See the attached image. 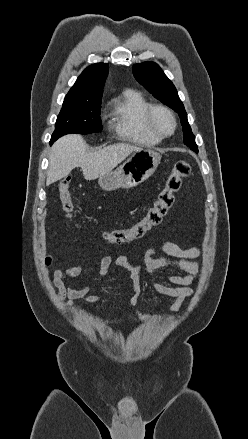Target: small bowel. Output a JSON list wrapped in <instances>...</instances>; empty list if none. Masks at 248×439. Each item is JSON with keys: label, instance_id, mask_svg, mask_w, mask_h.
Here are the masks:
<instances>
[{"label": "small bowel", "instance_id": "small-bowel-1", "mask_svg": "<svg viewBox=\"0 0 248 439\" xmlns=\"http://www.w3.org/2000/svg\"><path fill=\"white\" fill-rule=\"evenodd\" d=\"M158 252H163L165 255L157 256ZM200 255L201 250L198 247L181 248L172 241H163L146 250L143 258L144 270H142L139 265L131 263L126 257H118L115 261L116 265L126 270L130 275L131 298L129 305L134 307L138 303L142 295L143 278H146L156 293L174 298V302L169 310L171 312L178 311L183 302L193 293L190 286L194 284L199 277L200 262L198 258ZM52 262V257H46V266H50ZM111 264V256L107 254L102 255L98 272L99 275H105ZM169 266L176 267L184 272L182 275H164V279L173 286L156 283L151 279L160 269ZM81 272V264H76L66 270L55 269L52 272V283L57 289L58 300L60 302L66 301L69 310L73 313H76L74 307L76 300H84L87 303H98L101 300L100 297L89 294V287L75 289L65 286V280L75 278L79 276ZM136 314L141 320L151 318V315L141 311H136Z\"/></svg>", "mask_w": 248, "mask_h": 439}]
</instances>
